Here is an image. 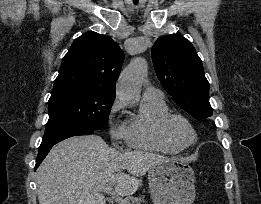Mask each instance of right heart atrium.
Returning <instances> with one entry per match:
<instances>
[{"instance_id":"d8ad5b80","label":"right heart atrium","mask_w":261,"mask_h":204,"mask_svg":"<svg viewBox=\"0 0 261 204\" xmlns=\"http://www.w3.org/2000/svg\"><path fill=\"white\" fill-rule=\"evenodd\" d=\"M123 109V103L116 98L109 107L107 113V126L110 139L114 143L126 141V124L119 120V113Z\"/></svg>"}]
</instances>
